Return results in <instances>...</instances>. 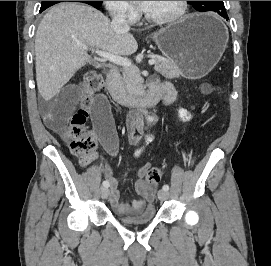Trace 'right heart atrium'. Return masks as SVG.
Returning a JSON list of instances; mask_svg holds the SVG:
<instances>
[{"label":"right heart atrium","mask_w":271,"mask_h":266,"mask_svg":"<svg viewBox=\"0 0 271 266\" xmlns=\"http://www.w3.org/2000/svg\"><path fill=\"white\" fill-rule=\"evenodd\" d=\"M108 12L117 18L132 22L137 17V9L129 1H104Z\"/></svg>","instance_id":"1"}]
</instances>
